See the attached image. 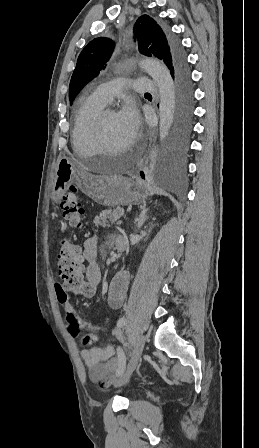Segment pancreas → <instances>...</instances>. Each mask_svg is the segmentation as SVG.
Here are the masks:
<instances>
[{"instance_id":"pancreas-1","label":"pancreas","mask_w":259,"mask_h":448,"mask_svg":"<svg viewBox=\"0 0 259 448\" xmlns=\"http://www.w3.org/2000/svg\"><path fill=\"white\" fill-rule=\"evenodd\" d=\"M122 216H125L124 210L121 208H116V210H103L99 216H96L95 220H93L95 226H110V222L114 224L117 220H120Z\"/></svg>"}]
</instances>
